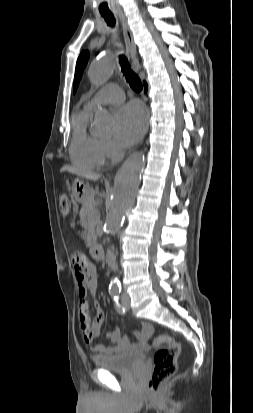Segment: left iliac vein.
<instances>
[{"mask_svg": "<svg viewBox=\"0 0 253 413\" xmlns=\"http://www.w3.org/2000/svg\"><path fill=\"white\" fill-rule=\"evenodd\" d=\"M122 301H123V304H124L125 308L129 309L130 308V298H129V296L128 295H123Z\"/></svg>", "mask_w": 253, "mask_h": 413, "instance_id": "obj_1", "label": "left iliac vein"}]
</instances>
